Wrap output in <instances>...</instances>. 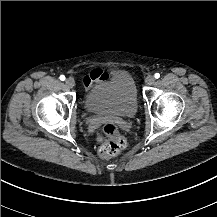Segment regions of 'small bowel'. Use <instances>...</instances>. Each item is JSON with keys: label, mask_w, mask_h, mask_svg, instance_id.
<instances>
[{"label": "small bowel", "mask_w": 217, "mask_h": 217, "mask_svg": "<svg viewBox=\"0 0 217 217\" xmlns=\"http://www.w3.org/2000/svg\"><path fill=\"white\" fill-rule=\"evenodd\" d=\"M86 87H87V90H89L90 87H91V84L86 85ZM90 128H91L93 131L96 132V136H97L98 142H101L102 139H101V137H100V135H99V133H98L99 123H98L96 120L91 121V123H90Z\"/></svg>", "instance_id": "obj_1"}]
</instances>
